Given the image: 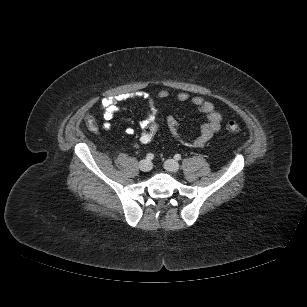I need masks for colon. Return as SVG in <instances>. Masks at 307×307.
I'll return each mask as SVG.
<instances>
[{
    "label": "colon",
    "instance_id": "5ec220e1",
    "mask_svg": "<svg viewBox=\"0 0 307 307\" xmlns=\"http://www.w3.org/2000/svg\"><path fill=\"white\" fill-rule=\"evenodd\" d=\"M157 118H159V116H157ZM87 124L89 126H95V121L93 120V118L88 117ZM157 128H158L157 123H152L149 126H147L145 129H143L140 135L141 143L149 144L153 140ZM226 128L232 134H238L240 131L239 125L234 120L227 121Z\"/></svg>",
    "mask_w": 307,
    "mask_h": 307
}]
</instances>
